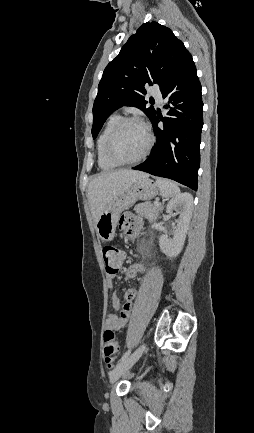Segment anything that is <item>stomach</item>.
Returning <instances> with one entry per match:
<instances>
[{
	"label": "stomach",
	"instance_id": "1",
	"mask_svg": "<svg viewBox=\"0 0 254 433\" xmlns=\"http://www.w3.org/2000/svg\"><path fill=\"white\" fill-rule=\"evenodd\" d=\"M159 192V187L148 177L136 180L123 194L114 198L102 211L96 222L98 237L108 242L114 238L120 214L138 200H151Z\"/></svg>",
	"mask_w": 254,
	"mask_h": 433
}]
</instances>
